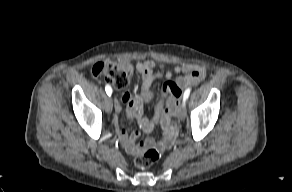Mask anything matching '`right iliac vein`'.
<instances>
[{
  "mask_svg": "<svg viewBox=\"0 0 292 192\" xmlns=\"http://www.w3.org/2000/svg\"><path fill=\"white\" fill-rule=\"evenodd\" d=\"M113 108L112 98L108 97L105 101V110L106 112L110 113Z\"/></svg>",
  "mask_w": 292,
  "mask_h": 192,
  "instance_id": "1",
  "label": "right iliac vein"
}]
</instances>
